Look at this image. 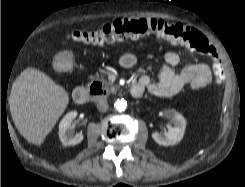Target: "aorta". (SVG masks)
<instances>
[{
    "label": "aorta",
    "instance_id": "aorta-1",
    "mask_svg": "<svg viewBox=\"0 0 245 187\" xmlns=\"http://www.w3.org/2000/svg\"><path fill=\"white\" fill-rule=\"evenodd\" d=\"M127 107V101L124 100V99H118L116 102H115V108L119 111V112H122L126 109Z\"/></svg>",
    "mask_w": 245,
    "mask_h": 187
}]
</instances>
